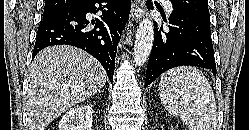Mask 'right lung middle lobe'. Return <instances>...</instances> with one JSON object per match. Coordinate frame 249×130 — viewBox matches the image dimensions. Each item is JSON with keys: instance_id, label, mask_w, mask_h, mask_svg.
Instances as JSON below:
<instances>
[{"instance_id": "dd1d6c3e", "label": "right lung middle lobe", "mask_w": 249, "mask_h": 130, "mask_svg": "<svg viewBox=\"0 0 249 130\" xmlns=\"http://www.w3.org/2000/svg\"><path fill=\"white\" fill-rule=\"evenodd\" d=\"M67 13L68 12H66V13L44 12L43 19H51V18H55V17L61 16V15L67 14Z\"/></svg>"}]
</instances>
